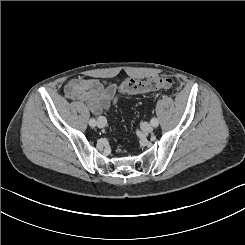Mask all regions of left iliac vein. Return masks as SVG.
Wrapping results in <instances>:
<instances>
[{
	"label": "left iliac vein",
	"instance_id": "1",
	"mask_svg": "<svg viewBox=\"0 0 245 245\" xmlns=\"http://www.w3.org/2000/svg\"><path fill=\"white\" fill-rule=\"evenodd\" d=\"M141 128L144 132L150 133L153 130V125L148 122H143Z\"/></svg>",
	"mask_w": 245,
	"mask_h": 245
}]
</instances>
